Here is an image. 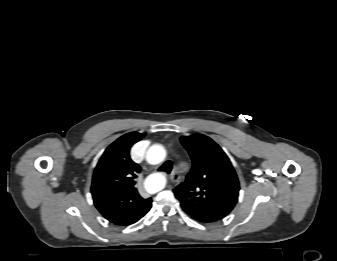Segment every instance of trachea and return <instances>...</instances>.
Listing matches in <instances>:
<instances>
[{"label":"trachea","mask_w":337,"mask_h":261,"mask_svg":"<svg viewBox=\"0 0 337 261\" xmlns=\"http://www.w3.org/2000/svg\"><path fill=\"white\" fill-rule=\"evenodd\" d=\"M158 170L170 173L172 170V164L170 162H166Z\"/></svg>","instance_id":"trachea-1"}]
</instances>
